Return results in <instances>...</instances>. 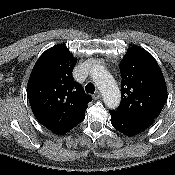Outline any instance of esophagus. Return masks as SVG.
I'll use <instances>...</instances> for the list:
<instances>
[{
  "label": "esophagus",
  "mask_w": 175,
  "mask_h": 175,
  "mask_svg": "<svg viewBox=\"0 0 175 175\" xmlns=\"http://www.w3.org/2000/svg\"><path fill=\"white\" fill-rule=\"evenodd\" d=\"M101 98V92L99 91V90H97L96 92H95V94L93 95V99L94 100H98V99H100Z\"/></svg>",
  "instance_id": "obj_1"
}]
</instances>
